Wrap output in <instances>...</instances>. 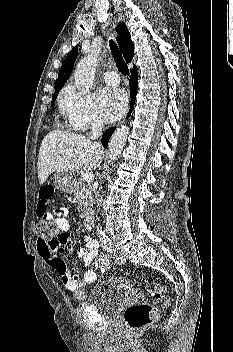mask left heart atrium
I'll return each instance as SVG.
<instances>
[{"instance_id": "left-heart-atrium-1", "label": "left heart atrium", "mask_w": 233, "mask_h": 352, "mask_svg": "<svg viewBox=\"0 0 233 352\" xmlns=\"http://www.w3.org/2000/svg\"><path fill=\"white\" fill-rule=\"evenodd\" d=\"M97 103L102 116L107 121H115L126 109L127 96L119 88H105L99 92Z\"/></svg>"}]
</instances>
